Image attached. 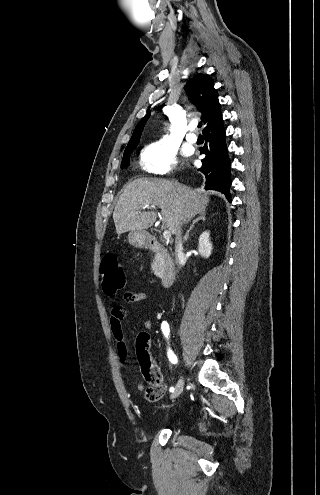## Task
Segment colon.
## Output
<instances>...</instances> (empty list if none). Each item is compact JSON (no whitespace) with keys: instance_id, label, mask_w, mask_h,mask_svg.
Listing matches in <instances>:
<instances>
[{"instance_id":"obj_1","label":"colon","mask_w":320,"mask_h":495,"mask_svg":"<svg viewBox=\"0 0 320 495\" xmlns=\"http://www.w3.org/2000/svg\"><path fill=\"white\" fill-rule=\"evenodd\" d=\"M100 273L102 276V286L109 295H115L125 284V274L118 257L115 254L104 256ZM136 352L139 362L145 367H151V357L149 353V337L146 333H141L136 340ZM149 387L145 390L144 397L148 402H155L161 399L165 393V386L161 375H151L148 379Z\"/></svg>"}]
</instances>
